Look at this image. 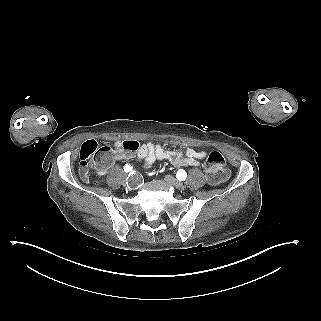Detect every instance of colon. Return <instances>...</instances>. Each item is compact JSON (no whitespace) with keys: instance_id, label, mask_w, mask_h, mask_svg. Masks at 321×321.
I'll return each mask as SVG.
<instances>
[{"instance_id":"obj_1","label":"colon","mask_w":321,"mask_h":321,"mask_svg":"<svg viewBox=\"0 0 321 321\" xmlns=\"http://www.w3.org/2000/svg\"><path fill=\"white\" fill-rule=\"evenodd\" d=\"M138 141H125L122 148L131 154L140 149ZM107 160V157L96 152H84L80 155L79 173L83 178H90V170L96 169L97 166ZM206 178L210 184L216 185L225 181L228 177V169L224 156L218 151H212L208 154L205 163Z\"/></svg>"}]
</instances>
